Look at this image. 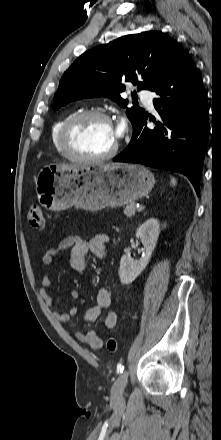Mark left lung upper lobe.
Here are the masks:
<instances>
[{
  "mask_svg": "<svg viewBox=\"0 0 221 440\" xmlns=\"http://www.w3.org/2000/svg\"><path fill=\"white\" fill-rule=\"evenodd\" d=\"M182 50L168 35L148 31L120 37L82 54L63 74L54 96L53 109L71 101L106 96L126 107L121 80L151 90L174 66ZM135 96V92L132 94ZM135 105V104H134ZM133 130L145 116L139 107L127 108Z\"/></svg>",
  "mask_w": 221,
  "mask_h": 440,
  "instance_id": "obj_1",
  "label": "left lung upper lobe"
}]
</instances>
